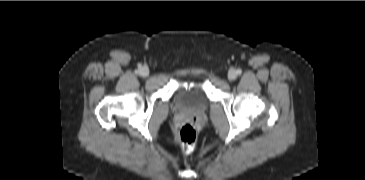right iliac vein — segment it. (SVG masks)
Here are the masks:
<instances>
[{
    "mask_svg": "<svg viewBox=\"0 0 365 180\" xmlns=\"http://www.w3.org/2000/svg\"><path fill=\"white\" fill-rule=\"evenodd\" d=\"M140 73L142 76L147 77L149 75V69L147 67H142Z\"/></svg>",
    "mask_w": 365,
    "mask_h": 180,
    "instance_id": "63e3f726",
    "label": "right iliac vein"
}]
</instances>
